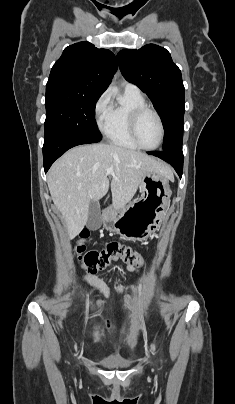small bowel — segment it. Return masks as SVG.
<instances>
[{
	"mask_svg": "<svg viewBox=\"0 0 235 404\" xmlns=\"http://www.w3.org/2000/svg\"><path fill=\"white\" fill-rule=\"evenodd\" d=\"M128 270L131 272H135V267L133 265H128ZM83 280L95 287L101 295L106 297L133 289V286L124 285H117L114 288H110L103 279L98 278L94 275H84Z\"/></svg>",
	"mask_w": 235,
	"mask_h": 404,
	"instance_id": "obj_1",
	"label": "small bowel"
}]
</instances>
